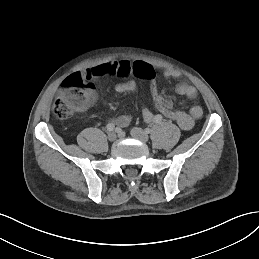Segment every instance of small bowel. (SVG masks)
Returning <instances> with one entry per match:
<instances>
[{
    "instance_id": "small-bowel-1",
    "label": "small bowel",
    "mask_w": 259,
    "mask_h": 259,
    "mask_svg": "<svg viewBox=\"0 0 259 259\" xmlns=\"http://www.w3.org/2000/svg\"><path fill=\"white\" fill-rule=\"evenodd\" d=\"M128 75H134L136 77L149 80L151 83V93L156 108L167 118H170L173 114L181 113L182 117L178 118L176 122L182 129H191L194 126L195 121L202 116L203 110L200 106L195 105L188 111H182L175 109L171 100L163 98L159 94L156 87V70L147 62L140 60L134 62H130L128 60L109 61L87 69L82 74V76L89 82L101 76ZM178 76V72L172 69H168L164 72L165 78H177ZM135 89L136 83L132 80L119 83L116 86V91L119 93H126L134 91ZM176 92L180 95H184L188 99H194L197 94L196 89L185 82H181L176 86ZM143 116L146 120H150L152 118V113L148 109H145L143 111ZM112 121L120 127H126L131 122V116L129 114H121Z\"/></svg>"
}]
</instances>
